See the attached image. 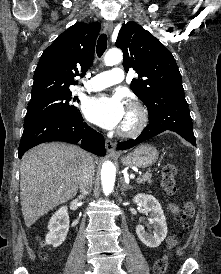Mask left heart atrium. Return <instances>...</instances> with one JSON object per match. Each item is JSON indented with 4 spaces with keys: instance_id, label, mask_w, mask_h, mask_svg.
<instances>
[{
    "instance_id": "39dd6f15",
    "label": "left heart atrium",
    "mask_w": 221,
    "mask_h": 274,
    "mask_svg": "<svg viewBox=\"0 0 221 274\" xmlns=\"http://www.w3.org/2000/svg\"><path fill=\"white\" fill-rule=\"evenodd\" d=\"M83 112L89 121L105 129H114L122 124L126 111L120 96L100 95L87 99Z\"/></svg>"
}]
</instances>
